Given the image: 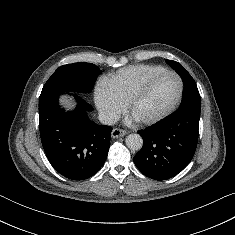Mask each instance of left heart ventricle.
Segmentation results:
<instances>
[{
	"mask_svg": "<svg viewBox=\"0 0 235 235\" xmlns=\"http://www.w3.org/2000/svg\"><path fill=\"white\" fill-rule=\"evenodd\" d=\"M179 90L176 78L163 76L155 80L146 95L132 111L134 119H149L164 112L175 100Z\"/></svg>",
	"mask_w": 235,
	"mask_h": 235,
	"instance_id": "1",
	"label": "left heart ventricle"
}]
</instances>
